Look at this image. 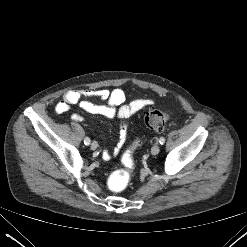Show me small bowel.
<instances>
[{
    "label": "small bowel",
    "instance_id": "small-bowel-1",
    "mask_svg": "<svg viewBox=\"0 0 247 247\" xmlns=\"http://www.w3.org/2000/svg\"><path fill=\"white\" fill-rule=\"evenodd\" d=\"M95 97L104 101V103L96 104L92 102L91 98ZM151 103L152 101L148 98H138L127 103L126 95L121 88H115L113 90H71L63 95L62 100L56 105L55 111L62 114L67 112L71 105H78L84 111L93 115H100L108 118L117 117L121 119L122 123L117 146L112 152L108 150L102 152L103 159L109 160L118 154L126 140L127 127L125 120ZM71 118L76 122H82L84 120L83 116L77 113L73 114Z\"/></svg>",
    "mask_w": 247,
    "mask_h": 247
}]
</instances>
